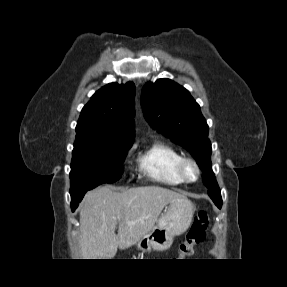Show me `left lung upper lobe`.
I'll use <instances>...</instances> for the list:
<instances>
[{
    "mask_svg": "<svg viewBox=\"0 0 287 287\" xmlns=\"http://www.w3.org/2000/svg\"><path fill=\"white\" fill-rule=\"evenodd\" d=\"M147 121L173 142L186 148L203 172V183L216 206H222L220 188L211 168L208 125L190 93L170 79L147 82L141 94Z\"/></svg>",
    "mask_w": 287,
    "mask_h": 287,
    "instance_id": "obj_1",
    "label": "left lung upper lobe"
}]
</instances>
